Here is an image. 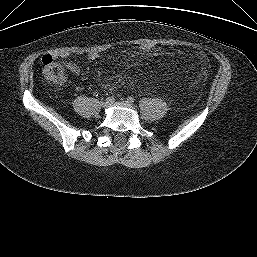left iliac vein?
<instances>
[{
	"label": "left iliac vein",
	"instance_id": "left-iliac-vein-1",
	"mask_svg": "<svg viewBox=\"0 0 257 257\" xmlns=\"http://www.w3.org/2000/svg\"><path fill=\"white\" fill-rule=\"evenodd\" d=\"M121 103L124 104V105H130V103L128 101H125V100L121 101Z\"/></svg>",
	"mask_w": 257,
	"mask_h": 257
}]
</instances>
